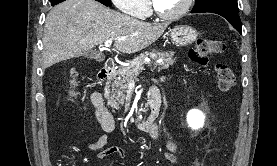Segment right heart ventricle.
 <instances>
[{"instance_id":"e07e8e85","label":"right heart ventricle","mask_w":277,"mask_h":166,"mask_svg":"<svg viewBox=\"0 0 277 166\" xmlns=\"http://www.w3.org/2000/svg\"><path fill=\"white\" fill-rule=\"evenodd\" d=\"M148 14V11L143 15V16H145V15H147Z\"/></svg>"}]
</instances>
